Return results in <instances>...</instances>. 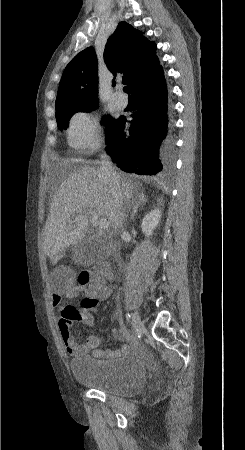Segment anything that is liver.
<instances>
[{
	"label": "liver",
	"instance_id": "1",
	"mask_svg": "<svg viewBox=\"0 0 245 450\" xmlns=\"http://www.w3.org/2000/svg\"><path fill=\"white\" fill-rule=\"evenodd\" d=\"M119 179L123 201L130 208L133 196L140 191V185L124 178ZM89 209L99 217H106L114 231L120 232L126 215L115 203L108 183L99 177L98 170L85 166L67 175L56 189L50 204L43 241L45 253L53 265L70 245H76L86 237Z\"/></svg>",
	"mask_w": 245,
	"mask_h": 450
}]
</instances>
